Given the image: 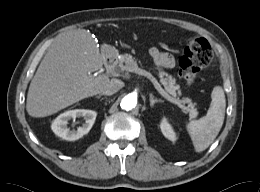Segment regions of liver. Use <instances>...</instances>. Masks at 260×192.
Listing matches in <instances>:
<instances>
[{"label":"liver","mask_w":260,"mask_h":192,"mask_svg":"<svg viewBox=\"0 0 260 192\" xmlns=\"http://www.w3.org/2000/svg\"><path fill=\"white\" fill-rule=\"evenodd\" d=\"M91 33L70 31L60 36L42 59L27 94L26 110L32 117H46L105 90L107 75L92 73L103 66Z\"/></svg>","instance_id":"obj_1"}]
</instances>
